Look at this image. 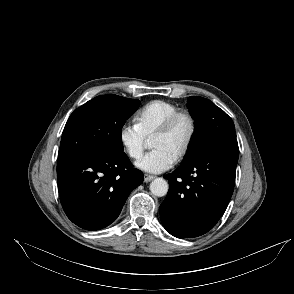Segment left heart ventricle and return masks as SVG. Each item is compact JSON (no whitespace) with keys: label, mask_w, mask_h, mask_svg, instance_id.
<instances>
[{"label":"left heart ventricle","mask_w":294,"mask_h":294,"mask_svg":"<svg viewBox=\"0 0 294 294\" xmlns=\"http://www.w3.org/2000/svg\"><path fill=\"white\" fill-rule=\"evenodd\" d=\"M189 133V123L185 118L177 121L174 127L165 135L152 138L154 148H163L177 156L184 146Z\"/></svg>","instance_id":"b2bd125f"}]
</instances>
